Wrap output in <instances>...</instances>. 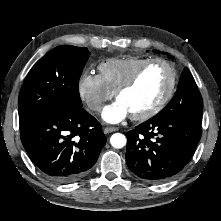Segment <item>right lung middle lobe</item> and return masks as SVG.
I'll return each instance as SVG.
<instances>
[{"label":"right lung middle lobe","instance_id":"obj_1","mask_svg":"<svg viewBox=\"0 0 221 221\" xmlns=\"http://www.w3.org/2000/svg\"><path fill=\"white\" fill-rule=\"evenodd\" d=\"M89 56L86 47L61 45L42 57L21 87L19 123L47 113L82 108L78 82Z\"/></svg>","mask_w":221,"mask_h":221}]
</instances>
